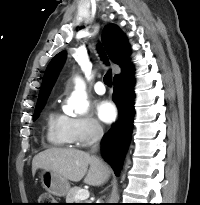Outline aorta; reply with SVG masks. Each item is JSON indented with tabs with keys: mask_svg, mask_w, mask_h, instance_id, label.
<instances>
[{
	"mask_svg": "<svg viewBox=\"0 0 200 205\" xmlns=\"http://www.w3.org/2000/svg\"><path fill=\"white\" fill-rule=\"evenodd\" d=\"M73 106L77 114H84L87 111L88 102L86 101L85 84L80 79L77 80Z\"/></svg>",
	"mask_w": 200,
	"mask_h": 205,
	"instance_id": "1",
	"label": "aorta"
}]
</instances>
